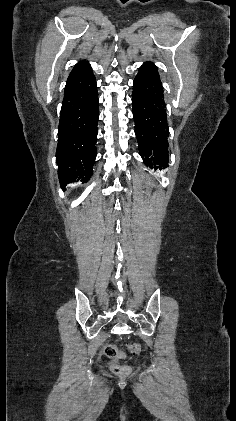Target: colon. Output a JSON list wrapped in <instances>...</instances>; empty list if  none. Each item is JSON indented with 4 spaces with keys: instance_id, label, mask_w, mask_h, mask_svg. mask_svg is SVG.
<instances>
[{
    "instance_id": "1",
    "label": "colon",
    "mask_w": 236,
    "mask_h": 421,
    "mask_svg": "<svg viewBox=\"0 0 236 421\" xmlns=\"http://www.w3.org/2000/svg\"><path fill=\"white\" fill-rule=\"evenodd\" d=\"M128 350L133 354L141 352V345L139 343H130L127 345ZM104 354L112 359V370L119 376H127L130 374L131 369L129 366L122 363L125 358V353L115 347L114 345L108 344L104 347Z\"/></svg>"
}]
</instances>
